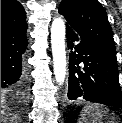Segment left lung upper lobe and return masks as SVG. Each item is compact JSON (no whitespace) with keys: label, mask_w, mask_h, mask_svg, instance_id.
<instances>
[{"label":"left lung upper lobe","mask_w":122,"mask_h":123,"mask_svg":"<svg viewBox=\"0 0 122 123\" xmlns=\"http://www.w3.org/2000/svg\"><path fill=\"white\" fill-rule=\"evenodd\" d=\"M58 12L65 17L67 28L116 51L107 13L97 0H62Z\"/></svg>","instance_id":"obj_1"}]
</instances>
